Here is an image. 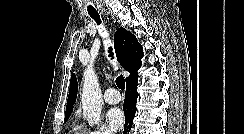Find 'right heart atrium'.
Returning <instances> with one entry per match:
<instances>
[{
    "mask_svg": "<svg viewBox=\"0 0 244 134\" xmlns=\"http://www.w3.org/2000/svg\"><path fill=\"white\" fill-rule=\"evenodd\" d=\"M89 134H112V132L104 126L97 127L91 131Z\"/></svg>",
    "mask_w": 244,
    "mask_h": 134,
    "instance_id": "obj_1",
    "label": "right heart atrium"
}]
</instances>
